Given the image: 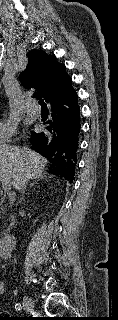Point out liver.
<instances>
[{"label": "liver", "instance_id": "6515ba94", "mask_svg": "<svg viewBox=\"0 0 118 320\" xmlns=\"http://www.w3.org/2000/svg\"><path fill=\"white\" fill-rule=\"evenodd\" d=\"M46 164L47 160L36 152L24 154L18 147L0 146V178L10 180L15 189H20L25 177L37 179Z\"/></svg>", "mask_w": 118, "mask_h": 320}]
</instances>
